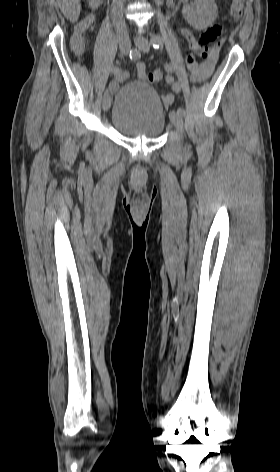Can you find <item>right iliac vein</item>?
I'll return each mask as SVG.
<instances>
[{"mask_svg": "<svg viewBox=\"0 0 280 472\" xmlns=\"http://www.w3.org/2000/svg\"><path fill=\"white\" fill-rule=\"evenodd\" d=\"M119 48L122 54H127L130 51L131 44L129 37L123 36L119 39ZM111 106V96L109 91H106L103 97L102 107L104 111H108Z\"/></svg>", "mask_w": 280, "mask_h": 472, "instance_id": "63e3f726", "label": "right iliac vein"}]
</instances>
